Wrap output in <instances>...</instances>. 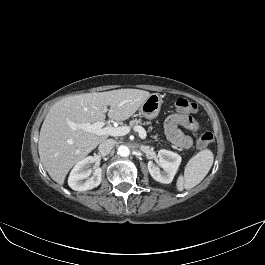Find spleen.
I'll list each match as a JSON object with an SVG mask.
<instances>
[{
  "label": "spleen",
  "instance_id": "3e777b00",
  "mask_svg": "<svg viewBox=\"0 0 265 265\" xmlns=\"http://www.w3.org/2000/svg\"><path fill=\"white\" fill-rule=\"evenodd\" d=\"M214 161L213 153L209 149H204L193 156L187 163L184 175L177 179L176 187L178 191L189 190L198 185L208 174Z\"/></svg>",
  "mask_w": 265,
  "mask_h": 265
}]
</instances>
